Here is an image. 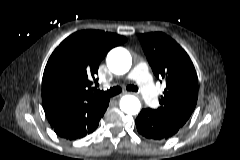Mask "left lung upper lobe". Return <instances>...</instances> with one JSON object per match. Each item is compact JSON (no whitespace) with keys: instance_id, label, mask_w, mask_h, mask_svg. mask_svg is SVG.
<instances>
[{"instance_id":"5c2ea615","label":"left lung upper lobe","mask_w":240,"mask_h":160,"mask_svg":"<svg viewBox=\"0 0 240 160\" xmlns=\"http://www.w3.org/2000/svg\"><path fill=\"white\" fill-rule=\"evenodd\" d=\"M138 38L155 76L166 83L156 111L182 127L194 111L198 98V78L185 50L161 32L140 34Z\"/></svg>"}]
</instances>
